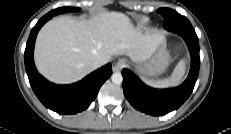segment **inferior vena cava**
<instances>
[{
    "label": "inferior vena cava",
    "mask_w": 231,
    "mask_h": 134,
    "mask_svg": "<svg viewBox=\"0 0 231 134\" xmlns=\"http://www.w3.org/2000/svg\"><path fill=\"white\" fill-rule=\"evenodd\" d=\"M102 65H104V62H103V61H101V60H96V61L93 62L92 67H93L94 69H96V68L101 67Z\"/></svg>",
    "instance_id": "inferior-vena-cava-1"
}]
</instances>
